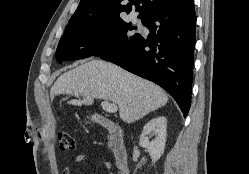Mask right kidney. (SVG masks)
Returning <instances> with one entry per match:
<instances>
[{
    "label": "right kidney",
    "mask_w": 249,
    "mask_h": 174,
    "mask_svg": "<svg viewBox=\"0 0 249 174\" xmlns=\"http://www.w3.org/2000/svg\"><path fill=\"white\" fill-rule=\"evenodd\" d=\"M166 128L167 119L163 116L151 119L143 128L139 145L148 151L152 159V164L158 161L164 153ZM151 134L156 136L153 141H149L148 136Z\"/></svg>",
    "instance_id": "ca27d5eb"
}]
</instances>
